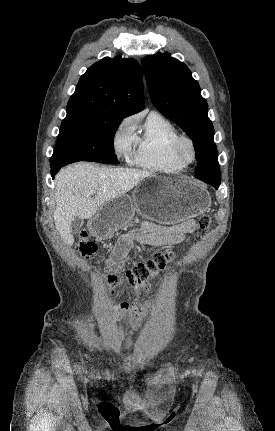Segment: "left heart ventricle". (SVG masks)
<instances>
[{"instance_id": "1", "label": "left heart ventricle", "mask_w": 275, "mask_h": 431, "mask_svg": "<svg viewBox=\"0 0 275 431\" xmlns=\"http://www.w3.org/2000/svg\"><path fill=\"white\" fill-rule=\"evenodd\" d=\"M182 154H183V156H184L185 159H189L190 158V149H189V147L186 144H184L183 147H182Z\"/></svg>"}]
</instances>
